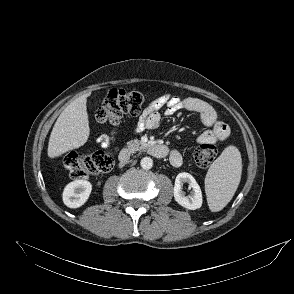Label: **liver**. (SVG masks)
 <instances>
[{"mask_svg": "<svg viewBox=\"0 0 294 294\" xmlns=\"http://www.w3.org/2000/svg\"><path fill=\"white\" fill-rule=\"evenodd\" d=\"M87 94L72 101L60 114L48 143V157L55 158L83 146L89 137Z\"/></svg>", "mask_w": 294, "mask_h": 294, "instance_id": "liver-1", "label": "liver"}]
</instances>
